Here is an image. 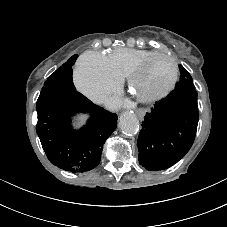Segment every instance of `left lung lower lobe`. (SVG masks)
Here are the masks:
<instances>
[{
  "mask_svg": "<svg viewBox=\"0 0 227 227\" xmlns=\"http://www.w3.org/2000/svg\"><path fill=\"white\" fill-rule=\"evenodd\" d=\"M197 92L175 89L146 113L138 137L139 163L148 170H164L191 148L198 125Z\"/></svg>",
  "mask_w": 227,
  "mask_h": 227,
  "instance_id": "0a47b994",
  "label": "left lung lower lobe"
}]
</instances>
